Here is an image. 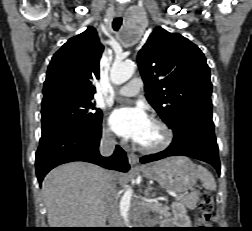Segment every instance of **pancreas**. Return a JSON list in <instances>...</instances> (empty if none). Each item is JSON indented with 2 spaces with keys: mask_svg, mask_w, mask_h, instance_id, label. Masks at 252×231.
<instances>
[{
  "mask_svg": "<svg viewBox=\"0 0 252 231\" xmlns=\"http://www.w3.org/2000/svg\"><path fill=\"white\" fill-rule=\"evenodd\" d=\"M199 195H200V193L196 191V192L190 193L188 195H185L182 198L177 199V200L179 201V203L181 205H183L187 208H190V209H195L196 204L199 199Z\"/></svg>",
  "mask_w": 252,
  "mask_h": 231,
  "instance_id": "obj_1",
  "label": "pancreas"
}]
</instances>
